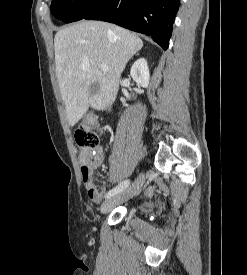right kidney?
Listing matches in <instances>:
<instances>
[{
    "instance_id": "ca27d5eb",
    "label": "right kidney",
    "mask_w": 247,
    "mask_h": 275,
    "mask_svg": "<svg viewBox=\"0 0 247 275\" xmlns=\"http://www.w3.org/2000/svg\"><path fill=\"white\" fill-rule=\"evenodd\" d=\"M133 80L141 87L147 88L150 80L149 68L144 58L138 59L131 67L130 71Z\"/></svg>"
}]
</instances>
